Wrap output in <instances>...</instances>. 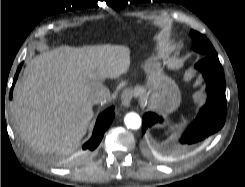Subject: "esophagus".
Instances as JSON below:
<instances>
[{"label": "esophagus", "instance_id": "obj_1", "mask_svg": "<svg viewBox=\"0 0 245 187\" xmlns=\"http://www.w3.org/2000/svg\"><path fill=\"white\" fill-rule=\"evenodd\" d=\"M133 91L132 89H125L121 94V103L122 106L125 108H128L130 106V103L133 99Z\"/></svg>", "mask_w": 245, "mask_h": 187}]
</instances>
